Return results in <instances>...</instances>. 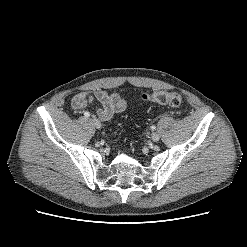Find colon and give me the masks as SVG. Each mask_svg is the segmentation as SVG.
Returning a JSON list of instances; mask_svg holds the SVG:
<instances>
[{
  "instance_id": "colon-1",
  "label": "colon",
  "mask_w": 247,
  "mask_h": 247,
  "mask_svg": "<svg viewBox=\"0 0 247 247\" xmlns=\"http://www.w3.org/2000/svg\"><path fill=\"white\" fill-rule=\"evenodd\" d=\"M142 98L146 102L158 103L171 107H179L183 102L180 94L169 91H154L152 93H146Z\"/></svg>"
}]
</instances>
